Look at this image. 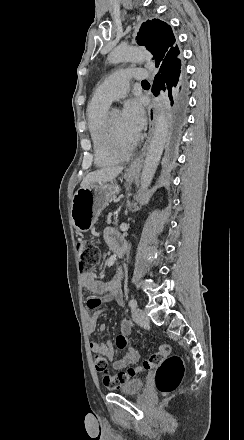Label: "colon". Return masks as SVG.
I'll use <instances>...</instances> for the list:
<instances>
[{
	"mask_svg": "<svg viewBox=\"0 0 244 440\" xmlns=\"http://www.w3.org/2000/svg\"><path fill=\"white\" fill-rule=\"evenodd\" d=\"M76 251L79 269L83 272H89L100 259V251L84 239L76 242ZM128 339L118 334L115 340V346L119 350H126ZM93 362L98 373H104L102 379L112 387L120 386L123 383L137 377L144 371L156 367L155 387L162 394L172 393L181 383L185 373L183 362L179 355L172 354L168 344L161 343L155 353L150 355L142 363L120 370L117 373H106L108 371V360L101 353L94 354Z\"/></svg>",
	"mask_w": 244,
	"mask_h": 440,
	"instance_id": "1",
	"label": "colon"
}]
</instances>
